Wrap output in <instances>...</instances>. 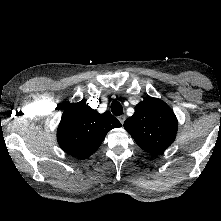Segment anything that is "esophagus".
<instances>
[{
	"mask_svg": "<svg viewBox=\"0 0 221 221\" xmlns=\"http://www.w3.org/2000/svg\"><path fill=\"white\" fill-rule=\"evenodd\" d=\"M118 120L120 121L121 124H124L125 120H126V116L125 115H121L118 117Z\"/></svg>",
	"mask_w": 221,
	"mask_h": 221,
	"instance_id": "34e87169",
	"label": "esophagus"
}]
</instances>
